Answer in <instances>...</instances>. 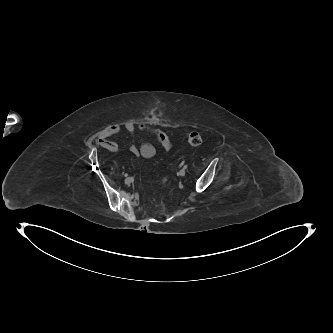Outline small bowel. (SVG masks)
I'll return each mask as SVG.
<instances>
[{
	"label": "small bowel",
	"mask_w": 333,
	"mask_h": 333,
	"mask_svg": "<svg viewBox=\"0 0 333 333\" xmlns=\"http://www.w3.org/2000/svg\"><path fill=\"white\" fill-rule=\"evenodd\" d=\"M122 128L126 130L130 135H134L137 131L149 135L157 140L166 151H169L172 148V142L166 133L159 129L151 127L147 124H138L135 125L131 122H127L123 127L120 125H111L104 129L97 137V145L103 149H106L110 152H118L117 144L111 140V138L122 131ZM130 152L136 157H143L150 159L155 156L156 149L154 145L148 141L141 143L139 146L132 144L130 146Z\"/></svg>",
	"instance_id": "1"
}]
</instances>
